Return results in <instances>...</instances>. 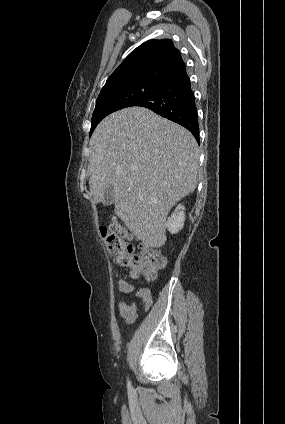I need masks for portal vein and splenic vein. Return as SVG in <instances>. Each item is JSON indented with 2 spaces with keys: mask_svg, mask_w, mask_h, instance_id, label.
<instances>
[{
  "mask_svg": "<svg viewBox=\"0 0 285 424\" xmlns=\"http://www.w3.org/2000/svg\"><path fill=\"white\" fill-rule=\"evenodd\" d=\"M133 170H134V171H137V168H134Z\"/></svg>",
  "mask_w": 285,
  "mask_h": 424,
  "instance_id": "portal-vein-and-splenic-vein-1",
  "label": "portal vein and splenic vein"
}]
</instances>
